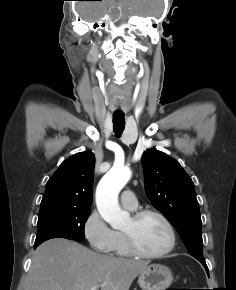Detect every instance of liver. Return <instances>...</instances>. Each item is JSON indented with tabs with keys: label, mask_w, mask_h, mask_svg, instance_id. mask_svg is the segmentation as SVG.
Returning a JSON list of instances; mask_svg holds the SVG:
<instances>
[{
	"label": "liver",
	"mask_w": 236,
	"mask_h": 290,
	"mask_svg": "<svg viewBox=\"0 0 236 290\" xmlns=\"http://www.w3.org/2000/svg\"><path fill=\"white\" fill-rule=\"evenodd\" d=\"M148 262L91 251L75 241L55 238L34 252L25 290H129Z\"/></svg>",
	"instance_id": "1"
}]
</instances>
